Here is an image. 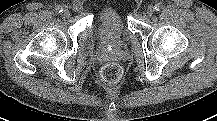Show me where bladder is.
Masks as SVG:
<instances>
[{
    "instance_id": "obj_1",
    "label": "bladder",
    "mask_w": 217,
    "mask_h": 121,
    "mask_svg": "<svg viewBox=\"0 0 217 121\" xmlns=\"http://www.w3.org/2000/svg\"><path fill=\"white\" fill-rule=\"evenodd\" d=\"M96 30L106 48L118 49L123 46L127 29L122 17L114 8L109 7L99 12Z\"/></svg>"
}]
</instances>
